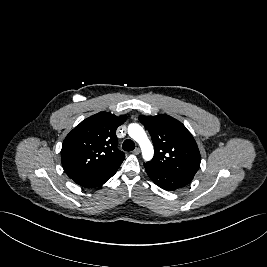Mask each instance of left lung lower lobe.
I'll return each mask as SVG.
<instances>
[{"label":"left lung lower lobe","mask_w":267,"mask_h":267,"mask_svg":"<svg viewBox=\"0 0 267 267\" xmlns=\"http://www.w3.org/2000/svg\"><path fill=\"white\" fill-rule=\"evenodd\" d=\"M146 172L150 179L162 189L173 191L186 186L191 180L179 176H175L163 171L157 170L144 163Z\"/></svg>","instance_id":"obj_1"}]
</instances>
